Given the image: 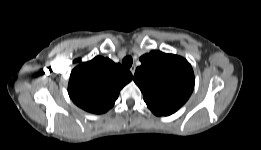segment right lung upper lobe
I'll return each mask as SVG.
<instances>
[{"label":"right lung upper lobe","instance_id":"cb5924a9","mask_svg":"<svg viewBox=\"0 0 261 150\" xmlns=\"http://www.w3.org/2000/svg\"><path fill=\"white\" fill-rule=\"evenodd\" d=\"M132 78L131 72L119 63L97 56L72 70L68 93L80 108L100 114L114 105L120 90Z\"/></svg>","mask_w":261,"mask_h":150}]
</instances>
